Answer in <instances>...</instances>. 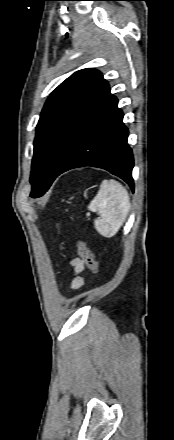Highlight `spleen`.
<instances>
[{
    "label": "spleen",
    "mask_w": 174,
    "mask_h": 440,
    "mask_svg": "<svg viewBox=\"0 0 174 440\" xmlns=\"http://www.w3.org/2000/svg\"><path fill=\"white\" fill-rule=\"evenodd\" d=\"M88 209L101 215L94 221L97 232L104 237H113L128 215L130 209L128 192L114 179L103 180Z\"/></svg>",
    "instance_id": "spleen-1"
}]
</instances>
